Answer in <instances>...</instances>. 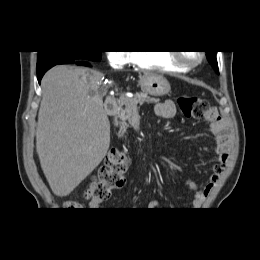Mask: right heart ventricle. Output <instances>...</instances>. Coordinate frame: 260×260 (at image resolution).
<instances>
[{
    "instance_id": "right-heart-ventricle-1",
    "label": "right heart ventricle",
    "mask_w": 260,
    "mask_h": 260,
    "mask_svg": "<svg viewBox=\"0 0 260 260\" xmlns=\"http://www.w3.org/2000/svg\"><path fill=\"white\" fill-rule=\"evenodd\" d=\"M132 62L142 69L158 70L168 73H183L186 71L176 65L169 53L164 51L139 50L132 53Z\"/></svg>"
}]
</instances>
